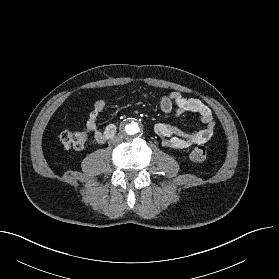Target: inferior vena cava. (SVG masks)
Listing matches in <instances>:
<instances>
[{
    "mask_svg": "<svg viewBox=\"0 0 279 279\" xmlns=\"http://www.w3.org/2000/svg\"><path fill=\"white\" fill-rule=\"evenodd\" d=\"M123 141V137H122V135H115L112 139H111V142L113 143V144H119V143H121Z\"/></svg>",
    "mask_w": 279,
    "mask_h": 279,
    "instance_id": "inferior-vena-cava-1",
    "label": "inferior vena cava"
}]
</instances>
